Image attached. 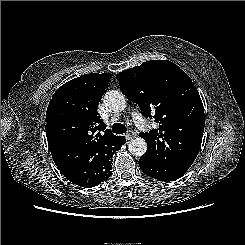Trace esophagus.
<instances>
[{"instance_id":"1","label":"esophagus","mask_w":245,"mask_h":245,"mask_svg":"<svg viewBox=\"0 0 245 245\" xmlns=\"http://www.w3.org/2000/svg\"><path fill=\"white\" fill-rule=\"evenodd\" d=\"M135 133L132 130H128L127 133L125 134V138L127 140L133 139L135 137Z\"/></svg>"}]
</instances>
